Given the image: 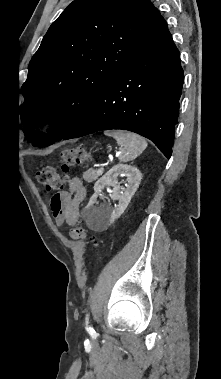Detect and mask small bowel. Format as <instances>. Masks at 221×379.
Here are the masks:
<instances>
[{
    "instance_id": "c3829d8e",
    "label": "small bowel",
    "mask_w": 221,
    "mask_h": 379,
    "mask_svg": "<svg viewBox=\"0 0 221 379\" xmlns=\"http://www.w3.org/2000/svg\"><path fill=\"white\" fill-rule=\"evenodd\" d=\"M48 195L51 199L50 211L56 223L75 225L79 219V205L86 195L82 180L78 177L71 178L66 190H49Z\"/></svg>"
}]
</instances>
